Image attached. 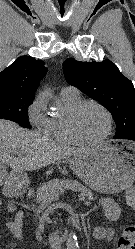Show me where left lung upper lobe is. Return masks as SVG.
<instances>
[{
  "label": "left lung upper lobe",
  "mask_w": 135,
  "mask_h": 249,
  "mask_svg": "<svg viewBox=\"0 0 135 249\" xmlns=\"http://www.w3.org/2000/svg\"><path fill=\"white\" fill-rule=\"evenodd\" d=\"M67 82L99 101L113 115L116 139L135 134V89L132 82L108 59L81 62L73 58L63 63Z\"/></svg>",
  "instance_id": "5c2ea615"
}]
</instances>
